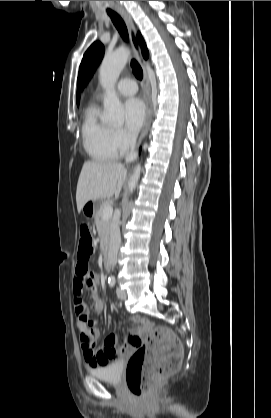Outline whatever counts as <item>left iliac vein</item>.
Here are the masks:
<instances>
[{
  "label": "left iliac vein",
  "instance_id": "4c4485c4",
  "mask_svg": "<svg viewBox=\"0 0 271 418\" xmlns=\"http://www.w3.org/2000/svg\"><path fill=\"white\" fill-rule=\"evenodd\" d=\"M116 292H117V296H118L119 299L125 300L127 298V294L123 289L117 288Z\"/></svg>",
  "mask_w": 271,
  "mask_h": 418
}]
</instances>
